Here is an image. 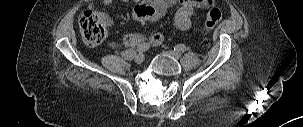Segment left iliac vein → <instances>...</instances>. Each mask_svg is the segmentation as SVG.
I'll use <instances>...</instances> for the list:
<instances>
[{
  "instance_id": "1",
  "label": "left iliac vein",
  "mask_w": 303,
  "mask_h": 127,
  "mask_svg": "<svg viewBox=\"0 0 303 127\" xmlns=\"http://www.w3.org/2000/svg\"><path fill=\"white\" fill-rule=\"evenodd\" d=\"M164 56L172 57L174 59H179L181 56V53L176 50H169L163 52Z\"/></svg>"
}]
</instances>
